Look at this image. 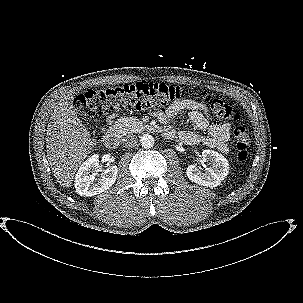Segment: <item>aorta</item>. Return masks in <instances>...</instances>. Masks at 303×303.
Segmentation results:
<instances>
[{
  "label": "aorta",
  "mask_w": 303,
  "mask_h": 303,
  "mask_svg": "<svg viewBox=\"0 0 303 303\" xmlns=\"http://www.w3.org/2000/svg\"><path fill=\"white\" fill-rule=\"evenodd\" d=\"M154 138L150 134H143L140 137L141 146L145 149H149L154 146Z\"/></svg>",
  "instance_id": "762f6f07"
}]
</instances>
